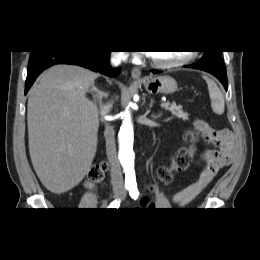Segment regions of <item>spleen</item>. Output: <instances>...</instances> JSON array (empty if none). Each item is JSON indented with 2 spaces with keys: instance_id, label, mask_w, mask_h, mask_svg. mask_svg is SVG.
<instances>
[{
  "instance_id": "spleen-1",
  "label": "spleen",
  "mask_w": 260,
  "mask_h": 260,
  "mask_svg": "<svg viewBox=\"0 0 260 260\" xmlns=\"http://www.w3.org/2000/svg\"><path fill=\"white\" fill-rule=\"evenodd\" d=\"M203 78L205 79L208 86L213 112L217 115H222L225 109V102L221 90L212 79L207 76H203Z\"/></svg>"
}]
</instances>
